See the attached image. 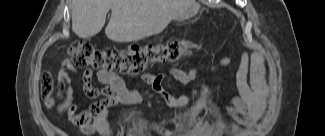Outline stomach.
Wrapping results in <instances>:
<instances>
[{"instance_id":"obj_1","label":"stomach","mask_w":325,"mask_h":136,"mask_svg":"<svg viewBox=\"0 0 325 136\" xmlns=\"http://www.w3.org/2000/svg\"><path fill=\"white\" fill-rule=\"evenodd\" d=\"M176 20H177V21H181V17H178Z\"/></svg>"}]
</instances>
